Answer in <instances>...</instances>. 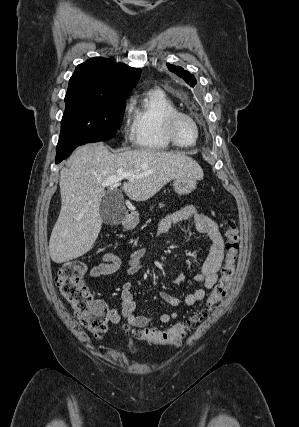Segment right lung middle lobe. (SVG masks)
<instances>
[{
	"label": "right lung middle lobe",
	"instance_id": "1",
	"mask_svg": "<svg viewBox=\"0 0 299 427\" xmlns=\"http://www.w3.org/2000/svg\"><path fill=\"white\" fill-rule=\"evenodd\" d=\"M127 96L78 97L65 100L61 133L56 151L78 143L112 138L120 128Z\"/></svg>",
	"mask_w": 299,
	"mask_h": 427
}]
</instances>
